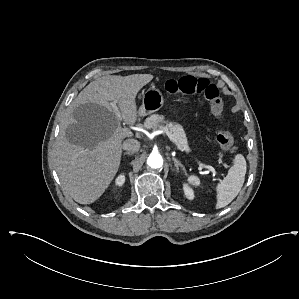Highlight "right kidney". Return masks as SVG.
<instances>
[{
  "label": "right kidney",
  "instance_id": "obj_1",
  "mask_svg": "<svg viewBox=\"0 0 299 299\" xmlns=\"http://www.w3.org/2000/svg\"><path fill=\"white\" fill-rule=\"evenodd\" d=\"M124 182H125V176H124V174H120V175L116 178V180H115V184H116L117 186H122V185L124 184Z\"/></svg>",
  "mask_w": 299,
  "mask_h": 299
}]
</instances>
